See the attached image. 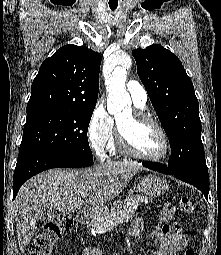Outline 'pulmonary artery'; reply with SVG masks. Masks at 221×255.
Listing matches in <instances>:
<instances>
[{
  "mask_svg": "<svg viewBox=\"0 0 221 255\" xmlns=\"http://www.w3.org/2000/svg\"><path fill=\"white\" fill-rule=\"evenodd\" d=\"M126 87L133 103L138 107H145L148 99L145 88L135 80H129L126 84Z\"/></svg>",
  "mask_w": 221,
  "mask_h": 255,
  "instance_id": "obj_1",
  "label": "pulmonary artery"
}]
</instances>
